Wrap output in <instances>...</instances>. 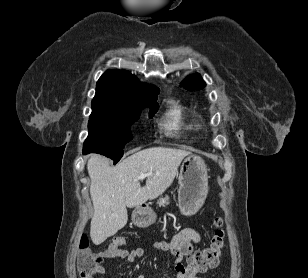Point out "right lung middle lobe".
I'll list each match as a JSON object with an SVG mask.
<instances>
[{"instance_id":"dd1d6c3e","label":"right lung middle lobe","mask_w":308,"mask_h":278,"mask_svg":"<svg viewBox=\"0 0 308 278\" xmlns=\"http://www.w3.org/2000/svg\"><path fill=\"white\" fill-rule=\"evenodd\" d=\"M150 117L158 110L157 101L150 105ZM140 112L129 118H96L88 123L89 135L83 146V154L99 153L110 157L116 164L123 156L125 144L132 139L130 126Z\"/></svg>"}]
</instances>
